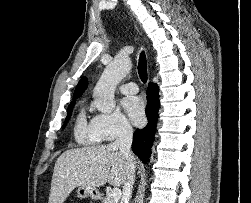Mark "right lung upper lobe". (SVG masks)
I'll list each match as a JSON object with an SVG mask.
<instances>
[{"instance_id":"cb5924a9","label":"right lung upper lobe","mask_w":251,"mask_h":203,"mask_svg":"<svg viewBox=\"0 0 251 203\" xmlns=\"http://www.w3.org/2000/svg\"><path fill=\"white\" fill-rule=\"evenodd\" d=\"M87 84H88L87 78L83 77L79 81L78 85L76 86L74 96H73V100L79 98L84 93L85 89L87 88ZM73 102H75V101H73ZM73 102H71V103H73Z\"/></svg>"}]
</instances>
